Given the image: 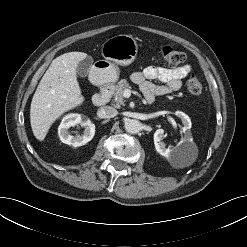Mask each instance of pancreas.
Segmentation results:
<instances>
[{
    "label": "pancreas",
    "instance_id": "cf45deb5",
    "mask_svg": "<svg viewBox=\"0 0 247 247\" xmlns=\"http://www.w3.org/2000/svg\"><path fill=\"white\" fill-rule=\"evenodd\" d=\"M131 88L129 83L127 82L126 79L120 80L117 85L114 86V102L117 107H120L121 105L124 106V97H123V92L124 90Z\"/></svg>",
    "mask_w": 247,
    "mask_h": 247
}]
</instances>
